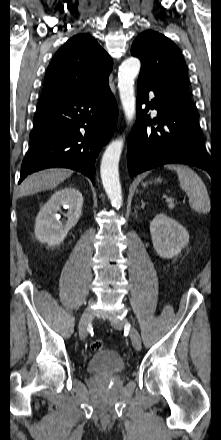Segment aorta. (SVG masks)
I'll list each match as a JSON object with an SVG mask.
<instances>
[{
    "label": "aorta",
    "mask_w": 221,
    "mask_h": 440,
    "mask_svg": "<svg viewBox=\"0 0 221 440\" xmlns=\"http://www.w3.org/2000/svg\"><path fill=\"white\" fill-rule=\"evenodd\" d=\"M138 58L129 57L124 60L118 72V89L126 120L131 122L136 113L134 81L140 71ZM124 145V138L113 140L106 148L100 166L103 187L116 208L122 205V191L119 180L118 165Z\"/></svg>",
    "instance_id": "762f6f07"
}]
</instances>
